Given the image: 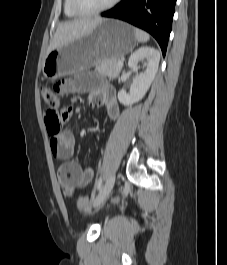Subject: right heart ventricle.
<instances>
[{"instance_id":"1","label":"right heart ventricle","mask_w":227,"mask_h":265,"mask_svg":"<svg viewBox=\"0 0 227 265\" xmlns=\"http://www.w3.org/2000/svg\"><path fill=\"white\" fill-rule=\"evenodd\" d=\"M64 12L66 16L68 17H78L79 14H77L71 6V1L70 0H64Z\"/></svg>"}]
</instances>
